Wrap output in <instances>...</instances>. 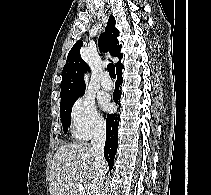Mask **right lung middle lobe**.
Here are the masks:
<instances>
[{
    "label": "right lung middle lobe",
    "mask_w": 211,
    "mask_h": 195,
    "mask_svg": "<svg viewBox=\"0 0 211 195\" xmlns=\"http://www.w3.org/2000/svg\"><path fill=\"white\" fill-rule=\"evenodd\" d=\"M77 99L60 103V117L64 133H67L68 131V127L70 125L72 107Z\"/></svg>",
    "instance_id": "1"
}]
</instances>
